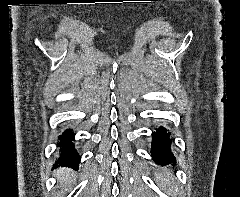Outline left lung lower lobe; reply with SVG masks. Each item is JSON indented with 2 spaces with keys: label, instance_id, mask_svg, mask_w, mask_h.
I'll return each instance as SVG.
<instances>
[{
  "label": "left lung lower lobe",
  "instance_id": "0a47b994",
  "mask_svg": "<svg viewBox=\"0 0 240 197\" xmlns=\"http://www.w3.org/2000/svg\"><path fill=\"white\" fill-rule=\"evenodd\" d=\"M170 134V133H169ZM167 129L159 127L156 132L152 133V157L155 162L161 165H167L169 163H175V158L170 152V139Z\"/></svg>",
  "mask_w": 240,
  "mask_h": 197
}]
</instances>
